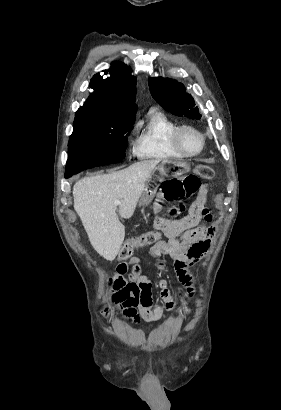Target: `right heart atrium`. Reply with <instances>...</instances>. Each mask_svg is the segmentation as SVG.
I'll list each match as a JSON object with an SVG mask.
<instances>
[{"instance_id": "d8ad5b80", "label": "right heart atrium", "mask_w": 281, "mask_h": 410, "mask_svg": "<svg viewBox=\"0 0 281 410\" xmlns=\"http://www.w3.org/2000/svg\"><path fill=\"white\" fill-rule=\"evenodd\" d=\"M134 132V128L133 129H131V133H133Z\"/></svg>"}]
</instances>
